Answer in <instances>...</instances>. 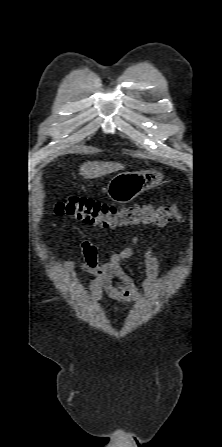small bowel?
<instances>
[{
	"mask_svg": "<svg viewBox=\"0 0 222 447\" xmlns=\"http://www.w3.org/2000/svg\"><path fill=\"white\" fill-rule=\"evenodd\" d=\"M133 241L134 243L139 242L136 237ZM80 246L84 261L78 263L67 261L65 267L71 277L75 276L76 267L94 276L87 285L95 301H99L103 293L126 305L140 299L141 294L138 285L120 265L121 260L133 256L132 248H125L112 253L108 261L101 262L97 247L90 240H82ZM145 267L147 278L142 281L141 287L147 296H153L159 282V260L151 248L145 251Z\"/></svg>",
	"mask_w": 222,
	"mask_h": 447,
	"instance_id": "1",
	"label": "small bowel"
}]
</instances>
